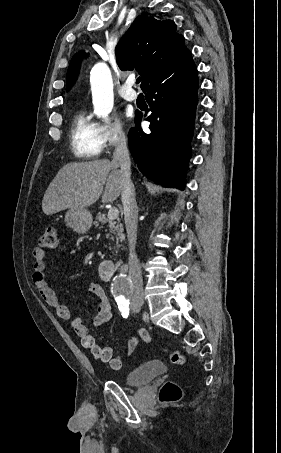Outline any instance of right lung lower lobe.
Instances as JSON below:
<instances>
[{"instance_id": "1", "label": "right lung lower lobe", "mask_w": 281, "mask_h": 453, "mask_svg": "<svg viewBox=\"0 0 281 453\" xmlns=\"http://www.w3.org/2000/svg\"><path fill=\"white\" fill-rule=\"evenodd\" d=\"M197 90V69L190 51L144 85L152 112L146 118L151 122V132L141 129L142 113L136 112V127L128 136L129 148L139 170L162 186L184 189Z\"/></svg>"}]
</instances>
